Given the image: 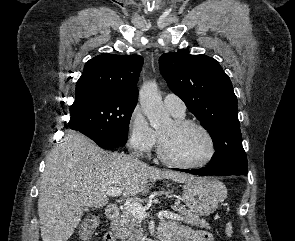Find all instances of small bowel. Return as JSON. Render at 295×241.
Segmentation results:
<instances>
[{"label": "small bowel", "instance_id": "small-bowel-1", "mask_svg": "<svg viewBox=\"0 0 295 241\" xmlns=\"http://www.w3.org/2000/svg\"><path fill=\"white\" fill-rule=\"evenodd\" d=\"M159 233L167 235L172 241H213L207 232L194 230L189 226L171 221L163 223ZM105 241H115V238L111 233H107Z\"/></svg>", "mask_w": 295, "mask_h": 241}]
</instances>
